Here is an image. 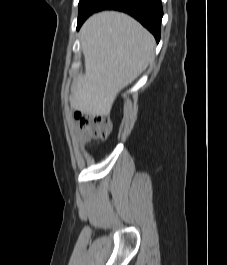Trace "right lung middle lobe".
Instances as JSON below:
<instances>
[{
  "label": "right lung middle lobe",
  "mask_w": 227,
  "mask_h": 265,
  "mask_svg": "<svg viewBox=\"0 0 227 265\" xmlns=\"http://www.w3.org/2000/svg\"><path fill=\"white\" fill-rule=\"evenodd\" d=\"M102 0H80L78 23L86 20L97 8Z\"/></svg>",
  "instance_id": "dd1d6c3e"
}]
</instances>
